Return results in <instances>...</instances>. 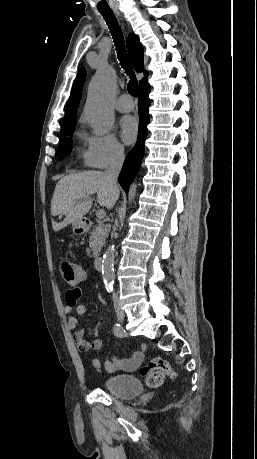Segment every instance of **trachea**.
I'll return each instance as SVG.
<instances>
[{
	"label": "trachea",
	"instance_id": "1",
	"mask_svg": "<svg viewBox=\"0 0 257 459\" xmlns=\"http://www.w3.org/2000/svg\"><path fill=\"white\" fill-rule=\"evenodd\" d=\"M101 15L103 16L104 20L106 21L111 35L114 40V44L116 46V51L118 55V59L120 61L121 67L125 70L126 74L129 75L130 81L128 83V92L131 96L137 97L138 92V84L135 73L133 68L129 62L124 37L122 31L118 25L117 19L115 18L112 11H100Z\"/></svg>",
	"mask_w": 257,
	"mask_h": 459
}]
</instances>
